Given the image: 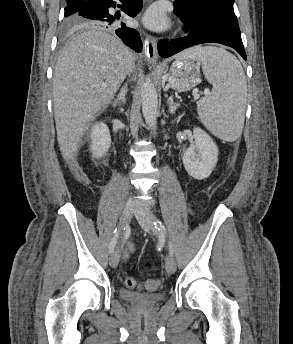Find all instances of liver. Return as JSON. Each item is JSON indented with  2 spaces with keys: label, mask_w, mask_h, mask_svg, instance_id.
<instances>
[{
  "label": "liver",
  "mask_w": 293,
  "mask_h": 344,
  "mask_svg": "<svg viewBox=\"0 0 293 344\" xmlns=\"http://www.w3.org/2000/svg\"><path fill=\"white\" fill-rule=\"evenodd\" d=\"M90 28L65 47L54 71L57 140L66 161L75 160L87 126L135 69L132 53L120 40Z\"/></svg>",
  "instance_id": "6515ba94"
}]
</instances>
